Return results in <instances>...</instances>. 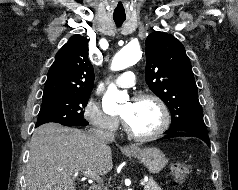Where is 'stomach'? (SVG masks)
<instances>
[{
    "instance_id": "obj_1",
    "label": "stomach",
    "mask_w": 238,
    "mask_h": 190,
    "mask_svg": "<svg viewBox=\"0 0 238 190\" xmlns=\"http://www.w3.org/2000/svg\"><path fill=\"white\" fill-rule=\"evenodd\" d=\"M128 156L139 159L152 174L159 173L168 163V159L158 148H136L126 152Z\"/></svg>"
}]
</instances>
